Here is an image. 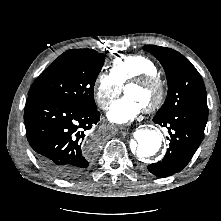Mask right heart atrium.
I'll return each instance as SVG.
<instances>
[{
	"instance_id": "1",
	"label": "right heart atrium",
	"mask_w": 221,
	"mask_h": 221,
	"mask_svg": "<svg viewBox=\"0 0 221 221\" xmlns=\"http://www.w3.org/2000/svg\"><path fill=\"white\" fill-rule=\"evenodd\" d=\"M122 86L108 72H101L94 83L93 93L96 104L106 109L110 102L121 92Z\"/></svg>"
}]
</instances>
